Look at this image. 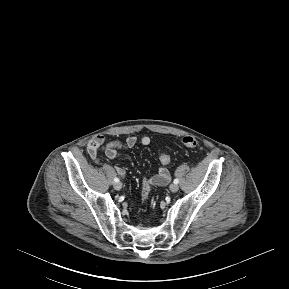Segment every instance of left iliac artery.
Masks as SVG:
<instances>
[{
	"mask_svg": "<svg viewBox=\"0 0 289 289\" xmlns=\"http://www.w3.org/2000/svg\"><path fill=\"white\" fill-rule=\"evenodd\" d=\"M175 184H178L179 183V180L176 178V179H174V181H173Z\"/></svg>",
	"mask_w": 289,
	"mask_h": 289,
	"instance_id": "44dca946",
	"label": "left iliac artery"
}]
</instances>
